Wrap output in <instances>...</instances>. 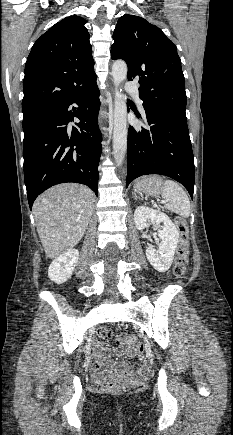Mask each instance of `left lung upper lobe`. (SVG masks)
<instances>
[{
	"label": "left lung upper lobe",
	"mask_w": 233,
	"mask_h": 435,
	"mask_svg": "<svg viewBox=\"0 0 233 435\" xmlns=\"http://www.w3.org/2000/svg\"><path fill=\"white\" fill-rule=\"evenodd\" d=\"M111 46L112 59L128 65L127 78L138 80L144 107L184 113L186 92L177 47L144 18L125 14L117 22Z\"/></svg>",
	"instance_id": "left-lung-upper-lobe-1"
}]
</instances>
